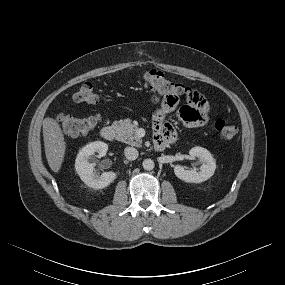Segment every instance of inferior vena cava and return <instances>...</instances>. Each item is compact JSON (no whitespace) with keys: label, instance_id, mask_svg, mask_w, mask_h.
<instances>
[{"label":"inferior vena cava","instance_id":"1","mask_svg":"<svg viewBox=\"0 0 285 285\" xmlns=\"http://www.w3.org/2000/svg\"><path fill=\"white\" fill-rule=\"evenodd\" d=\"M124 154H125V157L131 161L137 159L138 157V151L136 148H133V147H126L124 149Z\"/></svg>","mask_w":285,"mask_h":285}]
</instances>
